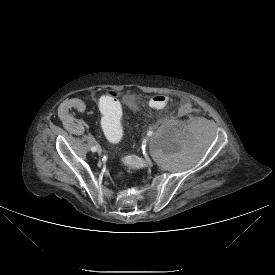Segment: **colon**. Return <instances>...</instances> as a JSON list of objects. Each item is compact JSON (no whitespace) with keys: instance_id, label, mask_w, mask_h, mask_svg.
I'll return each instance as SVG.
<instances>
[{"instance_id":"5ec220e1","label":"colon","mask_w":275,"mask_h":275,"mask_svg":"<svg viewBox=\"0 0 275 275\" xmlns=\"http://www.w3.org/2000/svg\"><path fill=\"white\" fill-rule=\"evenodd\" d=\"M119 94L110 92L103 95L99 101V108L104 116L102 126L107 138L111 142H117L121 136V125L119 120ZM171 99L165 95L153 96L149 105L154 109H162L170 104Z\"/></svg>"}]
</instances>
